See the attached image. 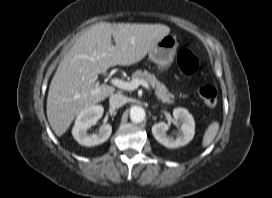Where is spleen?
<instances>
[{"label":"spleen","mask_w":272,"mask_h":198,"mask_svg":"<svg viewBox=\"0 0 272 198\" xmlns=\"http://www.w3.org/2000/svg\"><path fill=\"white\" fill-rule=\"evenodd\" d=\"M218 131H219V123L217 121H213L212 123H210L203 135L202 147L209 146L215 139Z\"/></svg>","instance_id":"obj_1"}]
</instances>
